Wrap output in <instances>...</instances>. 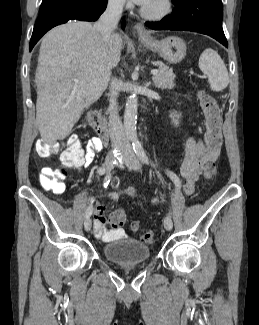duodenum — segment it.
<instances>
[{"instance_id":"1","label":"duodenum","mask_w":259,"mask_h":325,"mask_svg":"<svg viewBox=\"0 0 259 325\" xmlns=\"http://www.w3.org/2000/svg\"><path fill=\"white\" fill-rule=\"evenodd\" d=\"M88 122L93 130L96 132L97 137L103 142L108 141V130L102 120L101 114L97 109H91L88 112Z\"/></svg>"}]
</instances>
